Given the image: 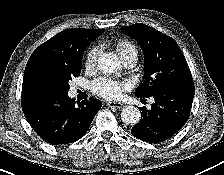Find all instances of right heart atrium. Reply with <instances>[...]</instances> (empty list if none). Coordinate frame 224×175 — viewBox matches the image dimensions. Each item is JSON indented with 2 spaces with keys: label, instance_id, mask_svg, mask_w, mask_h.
Returning a JSON list of instances; mask_svg holds the SVG:
<instances>
[{
  "label": "right heart atrium",
  "instance_id": "obj_1",
  "mask_svg": "<svg viewBox=\"0 0 224 175\" xmlns=\"http://www.w3.org/2000/svg\"><path fill=\"white\" fill-rule=\"evenodd\" d=\"M99 54H100L99 47H93L88 51L85 58V65L87 69H92L96 66Z\"/></svg>",
  "mask_w": 224,
  "mask_h": 175
}]
</instances>
